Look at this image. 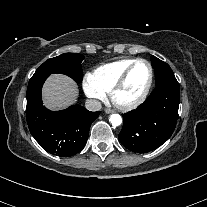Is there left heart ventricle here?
<instances>
[{"instance_id":"obj_1","label":"left heart ventricle","mask_w":207,"mask_h":207,"mask_svg":"<svg viewBox=\"0 0 207 207\" xmlns=\"http://www.w3.org/2000/svg\"><path fill=\"white\" fill-rule=\"evenodd\" d=\"M149 79V69L146 64L139 63L131 71L125 85L118 92L117 99L128 103L138 98L145 89Z\"/></svg>"}]
</instances>
